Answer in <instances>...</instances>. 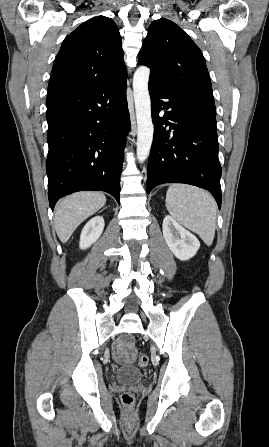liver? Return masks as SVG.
Masks as SVG:
<instances>
[{"label":"liver","instance_id":"liver-1","mask_svg":"<svg viewBox=\"0 0 269 447\" xmlns=\"http://www.w3.org/2000/svg\"><path fill=\"white\" fill-rule=\"evenodd\" d=\"M105 204L106 198L102 192H77L66 196L55 210V229L59 239L63 243L68 241L74 229Z\"/></svg>","mask_w":269,"mask_h":447}]
</instances>
